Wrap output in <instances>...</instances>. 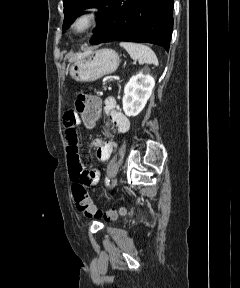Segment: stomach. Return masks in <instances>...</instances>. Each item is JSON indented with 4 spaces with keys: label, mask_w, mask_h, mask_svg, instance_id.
<instances>
[{
    "label": "stomach",
    "mask_w": 240,
    "mask_h": 288,
    "mask_svg": "<svg viewBox=\"0 0 240 288\" xmlns=\"http://www.w3.org/2000/svg\"><path fill=\"white\" fill-rule=\"evenodd\" d=\"M119 63L120 58L114 50L100 49L71 59L67 69L76 81H94L115 72Z\"/></svg>",
    "instance_id": "stomach-1"
}]
</instances>
